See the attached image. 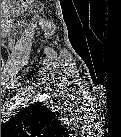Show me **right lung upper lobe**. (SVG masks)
<instances>
[{"label":"right lung upper lobe","instance_id":"1","mask_svg":"<svg viewBox=\"0 0 121 137\" xmlns=\"http://www.w3.org/2000/svg\"><path fill=\"white\" fill-rule=\"evenodd\" d=\"M60 128L54 113L40 102L26 107L15 118L1 124L2 131L19 135H51Z\"/></svg>","mask_w":121,"mask_h":137}]
</instances>
